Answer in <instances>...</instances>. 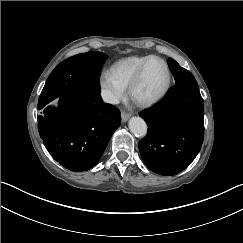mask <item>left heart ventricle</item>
I'll list each match as a JSON object with an SVG mask.
<instances>
[{"instance_id":"1","label":"left heart ventricle","mask_w":243,"mask_h":243,"mask_svg":"<svg viewBox=\"0 0 243 243\" xmlns=\"http://www.w3.org/2000/svg\"><path fill=\"white\" fill-rule=\"evenodd\" d=\"M167 69L160 61L150 63L143 79L135 90L136 101H147L159 95L167 84Z\"/></svg>"}]
</instances>
